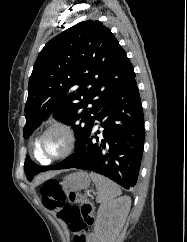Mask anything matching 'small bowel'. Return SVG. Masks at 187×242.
<instances>
[{
  "label": "small bowel",
  "mask_w": 187,
  "mask_h": 242,
  "mask_svg": "<svg viewBox=\"0 0 187 242\" xmlns=\"http://www.w3.org/2000/svg\"><path fill=\"white\" fill-rule=\"evenodd\" d=\"M92 240H93L94 242H97V240H96V238H95L94 236H92Z\"/></svg>",
  "instance_id": "1"
}]
</instances>
